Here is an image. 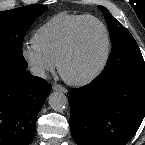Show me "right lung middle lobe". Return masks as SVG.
I'll return each instance as SVG.
<instances>
[{"mask_svg":"<svg viewBox=\"0 0 145 145\" xmlns=\"http://www.w3.org/2000/svg\"><path fill=\"white\" fill-rule=\"evenodd\" d=\"M46 9L44 5L35 4L0 12V76L26 70L28 65L22 53L23 37Z\"/></svg>","mask_w":145,"mask_h":145,"instance_id":"obj_1","label":"right lung middle lobe"}]
</instances>
